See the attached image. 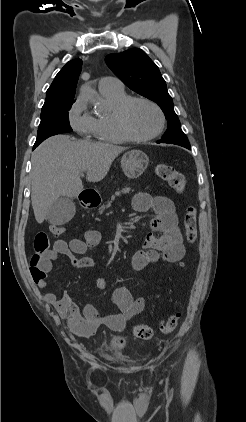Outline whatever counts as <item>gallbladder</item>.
<instances>
[{
  "label": "gallbladder",
  "instance_id": "bac80fb5",
  "mask_svg": "<svg viewBox=\"0 0 246 422\" xmlns=\"http://www.w3.org/2000/svg\"><path fill=\"white\" fill-rule=\"evenodd\" d=\"M75 204L69 197L61 196L50 206L46 220L53 225H63L75 215Z\"/></svg>",
  "mask_w": 246,
  "mask_h": 422
}]
</instances>
